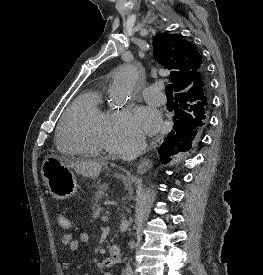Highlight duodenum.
<instances>
[{"mask_svg":"<svg viewBox=\"0 0 263 275\" xmlns=\"http://www.w3.org/2000/svg\"><path fill=\"white\" fill-rule=\"evenodd\" d=\"M121 260V250L118 246L112 245L109 248V254L108 257H106L103 261L105 266H113L117 263H119Z\"/></svg>","mask_w":263,"mask_h":275,"instance_id":"obj_1","label":"duodenum"}]
</instances>
